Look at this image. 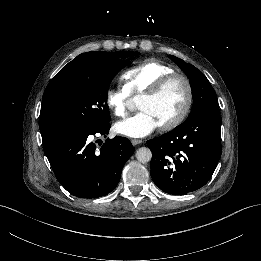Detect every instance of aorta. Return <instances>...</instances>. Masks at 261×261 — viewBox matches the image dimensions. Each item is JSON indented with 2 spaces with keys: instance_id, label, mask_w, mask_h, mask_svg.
Instances as JSON below:
<instances>
[{
  "instance_id": "1",
  "label": "aorta",
  "mask_w": 261,
  "mask_h": 261,
  "mask_svg": "<svg viewBox=\"0 0 261 261\" xmlns=\"http://www.w3.org/2000/svg\"><path fill=\"white\" fill-rule=\"evenodd\" d=\"M136 159L140 163H148L152 159V152L148 147H141L136 151Z\"/></svg>"
}]
</instances>
